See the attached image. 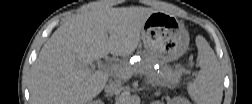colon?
Masks as SVG:
<instances>
[{
  "label": "colon",
  "instance_id": "1",
  "mask_svg": "<svg viewBox=\"0 0 252 104\" xmlns=\"http://www.w3.org/2000/svg\"><path fill=\"white\" fill-rule=\"evenodd\" d=\"M194 48V44L192 43V42H190L189 44H188V49L189 50H192Z\"/></svg>",
  "mask_w": 252,
  "mask_h": 104
}]
</instances>
